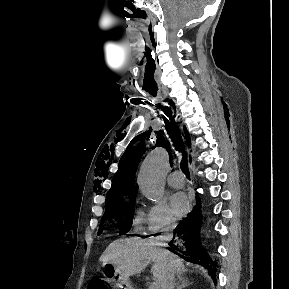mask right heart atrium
Here are the masks:
<instances>
[{
	"mask_svg": "<svg viewBox=\"0 0 289 289\" xmlns=\"http://www.w3.org/2000/svg\"><path fill=\"white\" fill-rule=\"evenodd\" d=\"M176 219L164 202L151 205L146 213V226L150 233H158L174 228Z\"/></svg>",
	"mask_w": 289,
	"mask_h": 289,
	"instance_id": "obj_1",
	"label": "right heart atrium"
}]
</instances>
